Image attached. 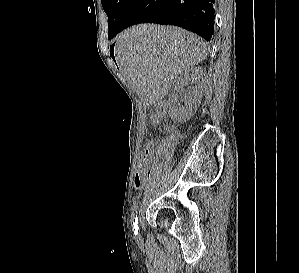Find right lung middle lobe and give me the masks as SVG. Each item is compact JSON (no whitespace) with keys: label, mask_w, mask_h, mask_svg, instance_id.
<instances>
[{"label":"right lung middle lobe","mask_w":299,"mask_h":273,"mask_svg":"<svg viewBox=\"0 0 299 273\" xmlns=\"http://www.w3.org/2000/svg\"><path fill=\"white\" fill-rule=\"evenodd\" d=\"M104 11L108 16V38H114L119 28L122 24V21L125 17V14L134 0H101Z\"/></svg>","instance_id":"obj_1"}]
</instances>
